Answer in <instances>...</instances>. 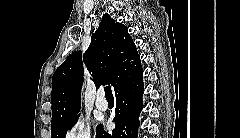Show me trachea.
<instances>
[{
  "mask_svg": "<svg viewBox=\"0 0 240 138\" xmlns=\"http://www.w3.org/2000/svg\"><path fill=\"white\" fill-rule=\"evenodd\" d=\"M104 90H105V96L107 99L113 98L111 86H106Z\"/></svg>",
  "mask_w": 240,
  "mask_h": 138,
  "instance_id": "obj_1",
  "label": "trachea"
}]
</instances>
